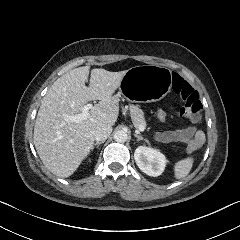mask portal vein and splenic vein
I'll use <instances>...</instances> for the list:
<instances>
[{
	"label": "portal vein and splenic vein",
	"mask_w": 240,
	"mask_h": 240,
	"mask_svg": "<svg viewBox=\"0 0 240 240\" xmlns=\"http://www.w3.org/2000/svg\"><path fill=\"white\" fill-rule=\"evenodd\" d=\"M91 107H92L91 104L84 105L82 107V110H81L80 113L75 114L73 116H68V117L65 118V120L67 122H72V123H79V122H83L85 120H88L89 118H91V113H90ZM138 130L139 131H144L145 130V125L144 124H139L138 125Z\"/></svg>",
	"instance_id": "1"
}]
</instances>
